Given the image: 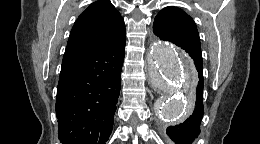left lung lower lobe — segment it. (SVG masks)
I'll list each match as a JSON object with an SVG mask.
<instances>
[{
    "label": "left lung lower lobe",
    "instance_id": "0a47b994",
    "mask_svg": "<svg viewBox=\"0 0 260 144\" xmlns=\"http://www.w3.org/2000/svg\"><path fill=\"white\" fill-rule=\"evenodd\" d=\"M176 45L184 49L194 62H198L202 58L200 47L190 44ZM203 87V79H199L197 86H194L191 93L193 110L189 117L184 122L167 128V135L176 144H191L200 133V123L204 115Z\"/></svg>",
    "mask_w": 260,
    "mask_h": 144
}]
</instances>
